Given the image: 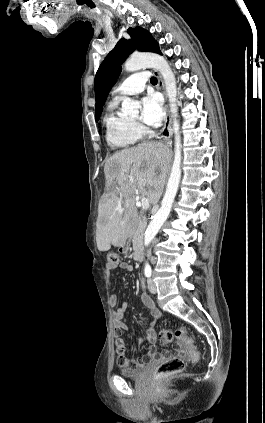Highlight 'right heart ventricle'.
I'll use <instances>...</instances> for the list:
<instances>
[{
	"mask_svg": "<svg viewBox=\"0 0 265 423\" xmlns=\"http://www.w3.org/2000/svg\"><path fill=\"white\" fill-rule=\"evenodd\" d=\"M119 100L109 102L105 115L104 126L106 140L111 147L129 148L140 139V132L136 125L118 112Z\"/></svg>",
	"mask_w": 265,
	"mask_h": 423,
	"instance_id": "right-heart-ventricle-1",
	"label": "right heart ventricle"
}]
</instances>
